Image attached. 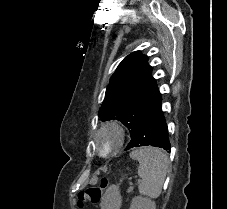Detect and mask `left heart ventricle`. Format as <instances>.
<instances>
[{
  "instance_id": "b2bd125f",
  "label": "left heart ventricle",
  "mask_w": 227,
  "mask_h": 209,
  "mask_svg": "<svg viewBox=\"0 0 227 209\" xmlns=\"http://www.w3.org/2000/svg\"><path fill=\"white\" fill-rule=\"evenodd\" d=\"M117 144V134L113 129H106L97 137V146L100 151L107 152Z\"/></svg>"
}]
</instances>
